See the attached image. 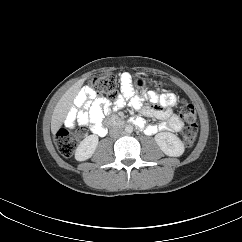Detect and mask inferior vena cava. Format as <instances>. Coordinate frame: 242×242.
Wrapping results in <instances>:
<instances>
[{
  "label": "inferior vena cava",
  "mask_w": 242,
  "mask_h": 242,
  "mask_svg": "<svg viewBox=\"0 0 242 242\" xmlns=\"http://www.w3.org/2000/svg\"><path fill=\"white\" fill-rule=\"evenodd\" d=\"M122 133H123V129L118 127H114L110 130V135L111 137H114V138L120 136Z\"/></svg>",
  "instance_id": "602c4592"
}]
</instances>
